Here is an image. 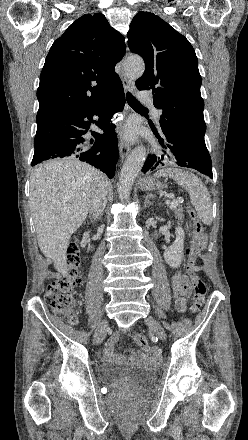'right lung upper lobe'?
<instances>
[{"mask_svg":"<svg viewBox=\"0 0 248 440\" xmlns=\"http://www.w3.org/2000/svg\"><path fill=\"white\" fill-rule=\"evenodd\" d=\"M123 41L100 13L73 22L46 57L37 90V123L110 94L120 81L114 68L125 54Z\"/></svg>","mask_w":248,"mask_h":440,"instance_id":"1","label":"right lung upper lobe"}]
</instances>
